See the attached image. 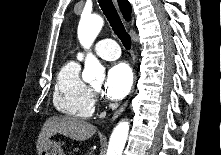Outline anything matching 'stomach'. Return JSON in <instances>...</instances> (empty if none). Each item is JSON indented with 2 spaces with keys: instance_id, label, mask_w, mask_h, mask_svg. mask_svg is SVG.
Instances as JSON below:
<instances>
[{
  "instance_id": "obj_1",
  "label": "stomach",
  "mask_w": 221,
  "mask_h": 155,
  "mask_svg": "<svg viewBox=\"0 0 221 155\" xmlns=\"http://www.w3.org/2000/svg\"><path fill=\"white\" fill-rule=\"evenodd\" d=\"M39 155H64V152L58 142L48 140Z\"/></svg>"
}]
</instances>
